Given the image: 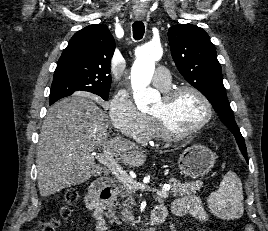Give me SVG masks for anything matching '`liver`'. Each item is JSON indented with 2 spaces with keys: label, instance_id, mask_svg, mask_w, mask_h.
Instances as JSON below:
<instances>
[{
  "label": "liver",
  "instance_id": "1",
  "mask_svg": "<svg viewBox=\"0 0 268 231\" xmlns=\"http://www.w3.org/2000/svg\"><path fill=\"white\" fill-rule=\"evenodd\" d=\"M109 118L85 94L52 105L44 119L37 149V180L41 196L100 176L94 150L101 148L130 167L141 166L146 156L134 142L122 137L109 139Z\"/></svg>",
  "mask_w": 268,
  "mask_h": 231
}]
</instances>
